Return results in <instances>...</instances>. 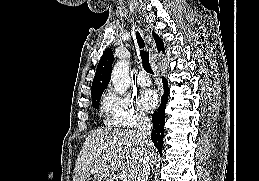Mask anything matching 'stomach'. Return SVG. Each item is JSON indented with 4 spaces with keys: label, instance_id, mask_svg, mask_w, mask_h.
<instances>
[{
    "label": "stomach",
    "instance_id": "stomach-1",
    "mask_svg": "<svg viewBox=\"0 0 259 181\" xmlns=\"http://www.w3.org/2000/svg\"><path fill=\"white\" fill-rule=\"evenodd\" d=\"M93 181H111L108 177L102 176V175H95Z\"/></svg>",
    "mask_w": 259,
    "mask_h": 181
}]
</instances>
